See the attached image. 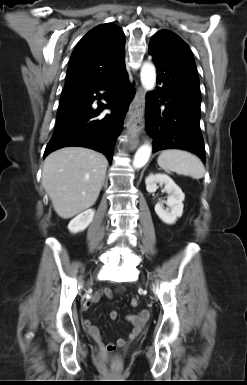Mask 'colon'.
Returning <instances> with one entry per match:
<instances>
[{"label": "colon", "mask_w": 247, "mask_h": 385, "mask_svg": "<svg viewBox=\"0 0 247 385\" xmlns=\"http://www.w3.org/2000/svg\"><path fill=\"white\" fill-rule=\"evenodd\" d=\"M138 304H139V302H138L137 299H133V300L131 301V305H132L133 307H137ZM107 349H108L109 351H112V350H114V346L109 345V346L107 347Z\"/></svg>", "instance_id": "colon-1"}]
</instances>
